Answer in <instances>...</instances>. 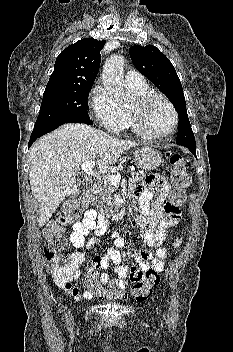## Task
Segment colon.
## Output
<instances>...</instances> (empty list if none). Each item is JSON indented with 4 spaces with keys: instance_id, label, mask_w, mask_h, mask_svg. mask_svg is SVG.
I'll return each mask as SVG.
<instances>
[{
    "instance_id": "obj_1",
    "label": "colon",
    "mask_w": 233,
    "mask_h": 352,
    "mask_svg": "<svg viewBox=\"0 0 233 352\" xmlns=\"http://www.w3.org/2000/svg\"><path fill=\"white\" fill-rule=\"evenodd\" d=\"M167 156L172 166L171 181L173 186L168 196V204L171 207H179L186 202V190L190 186L191 177L186 170V161L182 155L168 153ZM87 199V196H81L69 202L64 211L58 216L56 222L43 231L48 244L44 250V255L51 262L52 274L58 281H65L73 274V268L69 260L62 255L67 248V241L63 236V227L81 218L87 205ZM101 259L102 256H96L85 273L87 290L93 297L100 299L117 300L127 298L128 294L124 289L104 287L100 276ZM159 280V270L150 269L146 273L145 279L137 282L132 287L130 295L139 302L146 300L151 295L153 286L157 285Z\"/></svg>"
}]
</instances>
